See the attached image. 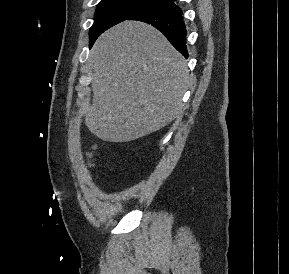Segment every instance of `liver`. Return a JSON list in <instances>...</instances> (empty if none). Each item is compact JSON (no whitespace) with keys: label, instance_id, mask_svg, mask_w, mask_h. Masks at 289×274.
I'll use <instances>...</instances> for the list:
<instances>
[{"label":"liver","instance_id":"6515ba94","mask_svg":"<svg viewBox=\"0 0 289 274\" xmlns=\"http://www.w3.org/2000/svg\"><path fill=\"white\" fill-rule=\"evenodd\" d=\"M92 105L85 124L98 138L136 140L182 115L189 73L186 60L151 25L124 21L91 49Z\"/></svg>","mask_w":289,"mask_h":274}]
</instances>
